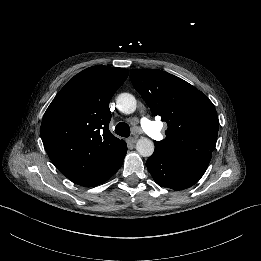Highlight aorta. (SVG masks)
<instances>
[{
  "label": "aorta",
  "mask_w": 261,
  "mask_h": 261,
  "mask_svg": "<svg viewBox=\"0 0 261 261\" xmlns=\"http://www.w3.org/2000/svg\"><path fill=\"white\" fill-rule=\"evenodd\" d=\"M116 105L123 113H132L136 109V99L130 93H121L116 97ZM136 150L142 157H150L154 152V144L151 140L140 139L136 144Z\"/></svg>",
  "instance_id": "aorta-1"
}]
</instances>
